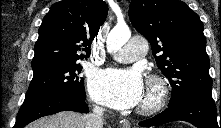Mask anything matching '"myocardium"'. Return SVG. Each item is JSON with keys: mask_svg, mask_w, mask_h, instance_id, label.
<instances>
[{"mask_svg": "<svg viewBox=\"0 0 221 128\" xmlns=\"http://www.w3.org/2000/svg\"><path fill=\"white\" fill-rule=\"evenodd\" d=\"M147 89L149 97L138 107V112L143 115H151L160 111L168 97V87L159 76H150L148 78Z\"/></svg>", "mask_w": 221, "mask_h": 128, "instance_id": "obj_1", "label": "myocardium"}]
</instances>
